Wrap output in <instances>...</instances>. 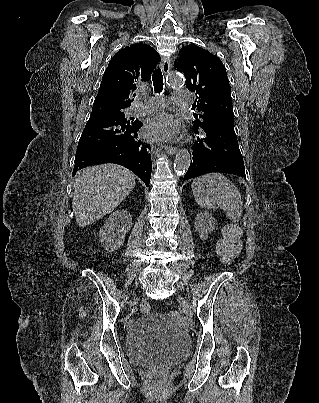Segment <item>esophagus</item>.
I'll use <instances>...</instances> for the list:
<instances>
[{"instance_id": "esophagus-1", "label": "esophagus", "mask_w": 319, "mask_h": 403, "mask_svg": "<svg viewBox=\"0 0 319 403\" xmlns=\"http://www.w3.org/2000/svg\"><path fill=\"white\" fill-rule=\"evenodd\" d=\"M160 66H161L162 72L164 74H167L169 72V70H170V59H169V57H166V56L162 57ZM165 151L169 155H173V154H175L177 152V148L174 147V146L166 145L165 146Z\"/></svg>"}]
</instances>
